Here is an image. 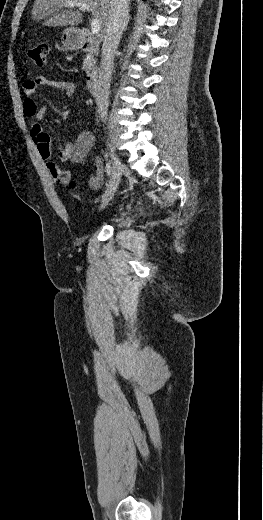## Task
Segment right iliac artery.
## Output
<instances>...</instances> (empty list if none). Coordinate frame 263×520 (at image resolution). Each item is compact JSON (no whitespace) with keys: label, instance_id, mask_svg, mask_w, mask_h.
I'll list each match as a JSON object with an SVG mask.
<instances>
[{"label":"right iliac artery","instance_id":"right-iliac-artery-1","mask_svg":"<svg viewBox=\"0 0 263 520\" xmlns=\"http://www.w3.org/2000/svg\"><path fill=\"white\" fill-rule=\"evenodd\" d=\"M106 172H107V175H108V176L111 175V172H112V166H111L110 161H108V162L106 163Z\"/></svg>","mask_w":263,"mask_h":520}]
</instances>
